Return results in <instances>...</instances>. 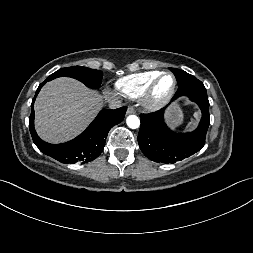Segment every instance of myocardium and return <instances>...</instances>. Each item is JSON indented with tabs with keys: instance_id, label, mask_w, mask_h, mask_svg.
<instances>
[{
	"instance_id": "myocardium-1",
	"label": "myocardium",
	"mask_w": 253,
	"mask_h": 253,
	"mask_svg": "<svg viewBox=\"0 0 253 253\" xmlns=\"http://www.w3.org/2000/svg\"><path fill=\"white\" fill-rule=\"evenodd\" d=\"M164 76H170L173 80V85L169 92L163 97H156V88ZM177 89V79L175 75L171 72H161L148 86L144 95L142 96V103L145 109L148 111H158L164 108L173 98Z\"/></svg>"
}]
</instances>
